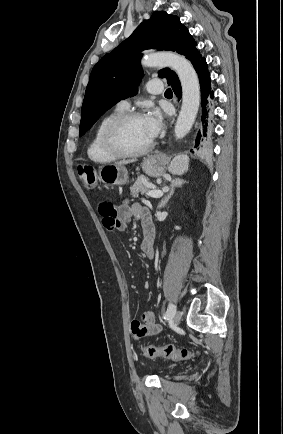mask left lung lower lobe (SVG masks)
I'll return each mask as SVG.
<instances>
[{"instance_id":"obj_1","label":"left lung lower lobe","mask_w":283,"mask_h":434,"mask_svg":"<svg viewBox=\"0 0 283 434\" xmlns=\"http://www.w3.org/2000/svg\"><path fill=\"white\" fill-rule=\"evenodd\" d=\"M200 81L201 87V121L200 129L197 134L196 144L208 145L213 134L214 119V91L212 88L211 77L205 58L201 59L194 66ZM176 96L181 97V85L179 79L170 84Z\"/></svg>"}]
</instances>
